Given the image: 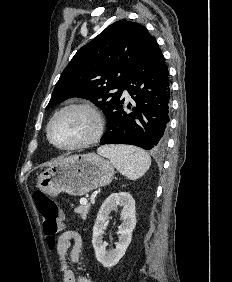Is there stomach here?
<instances>
[{"label":"stomach","mask_w":232,"mask_h":282,"mask_svg":"<svg viewBox=\"0 0 232 282\" xmlns=\"http://www.w3.org/2000/svg\"><path fill=\"white\" fill-rule=\"evenodd\" d=\"M114 168L107 159L95 154L72 155L60 159L37 176V188L50 196L61 192L82 196L108 185Z\"/></svg>","instance_id":"stomach-1"}]
</instances>
